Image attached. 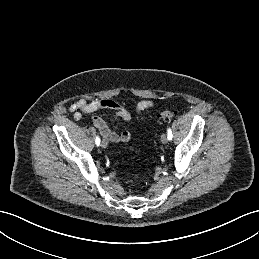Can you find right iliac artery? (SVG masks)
Instances as JSON below:
<instances>
[{
	"label": "right iliac artery",
	"instance_id": "obj_1",
	"mask_svg": "<svg viewBox=\"0 0 259 259\" xmlns=\"http://www.w3.org/2000/svg\"><path fill=\"white\" fill-rule=\"evenodd\" d=\"M95 142H96V145H97V146H99V145H100V138H99V136H97V137H96Z\"/></svg>",
	"mask_w": 259,
	"mask_h": 259
}]
</instances>
